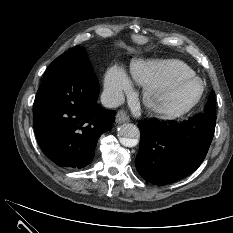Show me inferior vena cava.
<instances>
[{
	"label": "inferior vena cava",
	"mask_w": 233,
	"mask_h": 233,
	"mask_svg": "<svg viewBox=\"0 0 233 233\" xmlns=\"http://www.w3.org/2000/svg\"><path fill=\"white\" fill-rule=\"evenodd\" d=\"M124 102L122 93L104 91L101 95V103L108 108H116Z\"/></svg>",
	"instance_id": "602c4592"
}]
</instances>
